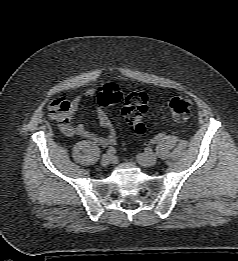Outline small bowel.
I'll return each instance as SVG.
<instances>
[{
    "label": "small bowel",
    "mask_w": 238,
    "mask_h": 261,
    "mask_svg": "<svg viewBox=\"0 0 238 261\" xmlns=\"http://www.w3.org/2000/svg\"><path fill=\"white\" fill-rule=\"evenodd\" d=\"M97 94L98 90L89 89L84 93L75 96L73 99L67 100L66 110L53 116L59 122L60 129L66 136L78 135L82 138L89 139L98 145L110 146L116 143V134L103 107H98L96 112L100 125L107 131L105 135H98L90 131L85 125L75 124L73 122L74 115L79 110L83 100L97 96Z\"/></svg>",
    "instance_id": "small-bowel-1"
}]
</instances>
